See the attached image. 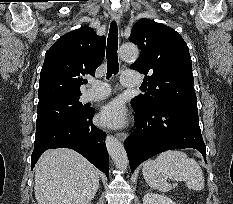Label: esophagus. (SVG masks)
I'll return each instance as SVG.
<instances>
[{
  "mask_svg": "<svg viewBox=\"0 0 233 204\" xmlns=\"http://www.w3.org/2000/svg\"><path fill=\"white\" fill-rule=\"evenodd\" d=\"M111 15H112V17H113L114 20H116L117 22L120 21V16H121V14H120V12H119L118 10H113V11L111 12ZM116 136H117V138H118L119 140L124 141V140L127 138V133L121 131V132H118V133L116 134Z\"/></svg>",
  "mask_w": 233,
  "mask_h": 204,
  "instance_id": "1",
  "label": "esophagus"
}]
</instances>
